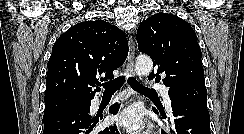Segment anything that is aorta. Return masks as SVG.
I'll list each match as a JSON object with an SVG mask.
<instances>
[{
	"label": "aorta",
	"instance_id": "aorta-1",
	"mask_svg": "<svg viewBox=\"0 0 244 134\" xmlns=\"http://www.w3.org/2000/svg\"><path fill=\"white\" fill-rule=\"evenodd\" d=\"M153 68V62L148 56H138L135 63V72L138 76L148 75Z\"/></svg>",
	"mask_w": 244,
	"mask_h": 134
}]
</instances>
